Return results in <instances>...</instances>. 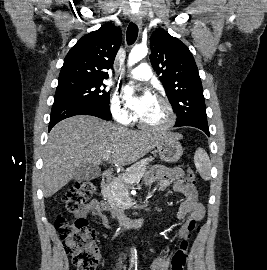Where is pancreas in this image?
I'll return each instance as SVG.
<instances>
[{
  "label": "pancreas",
  "instance_id": "pancreas-1",
  "mask_svg": "<svg viewBox=\"0 0 267 270\" xmlns=\"http://www.w3.org/2000/svg\"><path fill=\"white\" fill-rule=\"evenodd\" d=\"M153 158H145L126 169L119 177L113 179L110 185L104 190L103 197L111 205L121 204L129 201V188L131 183L139 182L144 176L146 167ZM125 179H131L133 182H126Z\"/></svg>",
  "mask_w": 267,
  "mask_h": 270
}]
</instances>
